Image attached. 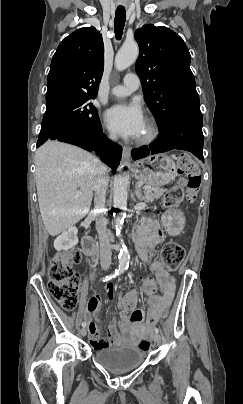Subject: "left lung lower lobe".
Segmentation results:
<instances>
[{"mask_svg":"<svg viewBox=\"0 0 243 404\" xmlns=\"http://www.w3.org/2000/svg\"><path fill=\"white\" fill-rule=\"evenodd\" d=\"M202 114L182 112L172 116L163 127L159 128L160 137L149 146L132 150L134 160L144 158L150 154L180 149L192 152L204 162L202 133Z\"/></svg>","mask_w":243,"mask_h":404,"instance_id":"left-lung-lower-lobe-1","label":"left lung lower lobe"}]
</instances>
